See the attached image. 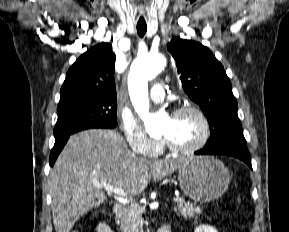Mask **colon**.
I'll use <instances>...</instances> for the list:
<instances>
[{
	"mask_svg": "<svg viewBox=\"0 0 289 232\" xmlns=\"http://www.w3.org/2000/svg\"><path fill=\"white\" fill-rule=\"evenodd\" d=\"M72 232H79V231L75 229V230H73Z\"/></svg>",
	"mask_w": 289,
	"mask_h": 232,
	"instance_id": "5ec220e1",
	"label": "colon"
}]
</instances>
